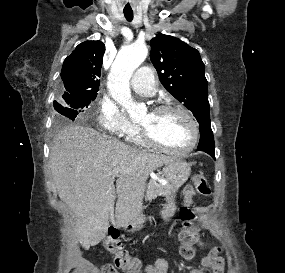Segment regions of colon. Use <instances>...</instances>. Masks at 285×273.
Returning a JSON list of instances; mask_svg holds the SVG:
<instances>
[{"mask_svg": "<svg viewBox=\"0 0 285 273\" xmlns=\"http://www.w3.org/2000/svg\"><path fill=\"white\" fill-rule=\"evenodd\" d=\"M211 193L210 185L207 179L202 175L193 177V184L185 188L182 196L183 206L178 208L180 222L184 225V230L180 233V254L185 260H192L196 255V244L199 241V235L193 226L195 212L193 211L195 194L209 196ZM105 249L113 256L114 265H105L102 267V273H118L121 270L125 273H138L141 267L140 261L131 256L123 248L122 241L117 230L111 229L107 238L104 240Z\"/></svg>", "mask_w": 285, "mask_h": 273, "instance_id": "obj_1", "label": "colon"}]
</instances>
